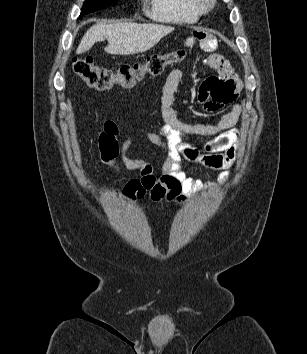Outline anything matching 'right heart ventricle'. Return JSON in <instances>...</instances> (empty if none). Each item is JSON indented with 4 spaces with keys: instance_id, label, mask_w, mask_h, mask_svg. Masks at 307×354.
I'll return each mask as SVG.
<instances>
[{
    "instance_id": "obj_1",
    "label": "right heart ventricle",
    "mask_w": 307,
    "mask_h": 354,
    "mask_svg": "<svg viewBox=\"0 0 307 354\" xmlns=\"http://www.w3.org/2000/svg\"><path fill=\"white\" fill-rule=\"evenodd\" d=\"M147 14L153 20L172 24L196 23L200 14L193 0H148Z\"/></svg>"
}]
</instances>
